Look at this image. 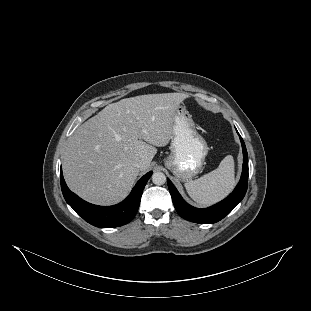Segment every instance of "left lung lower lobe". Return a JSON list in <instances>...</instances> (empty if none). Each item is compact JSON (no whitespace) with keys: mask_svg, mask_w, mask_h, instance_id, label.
I'll list each match as a JSON object with an SVG mask.
<instances>
[{"mask_svg":"<svg viewBox=\"0 0 311 311\" xmlns=\"http://www.w3.org/2000/svg\"><path fill=\"white\" fill-rule=\"evenodd\" d=\"M238 133V132H237ZM239 135V133H238ZM243 149V169L241 179L234 191L223 201L205 209L195 208L186 203L172 182L167 179L173 204L178 214L195 223H215L223 219L244 198L248 187V154L243 139L239 135Z\"/></svg>","mask_w":311,"mask_h":311,"instance_id":"1","label":"left lung lower lobe"}]
</instances>
